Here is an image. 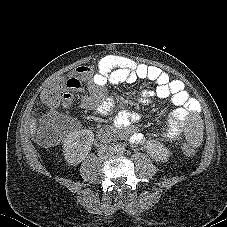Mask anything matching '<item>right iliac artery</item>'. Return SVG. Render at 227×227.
Wrapping results in <instances>:
<instances>
[{
  "instance_id": "obj_1",
  "label": "right iliac artery",
  "mask_w": 227,
  "mask_h": 227,
  "mask_svg": "<svg viewBox=\"0 0 227 227\" xmlns=\"http://www.w3.org/2000/svg\"><path fill=\"white\" fill-rule=\"evenodd\" d=\"M114 150L117 151L118 150V146H114Z\"/></svg>"
}]
</instances>
